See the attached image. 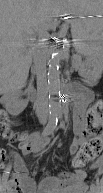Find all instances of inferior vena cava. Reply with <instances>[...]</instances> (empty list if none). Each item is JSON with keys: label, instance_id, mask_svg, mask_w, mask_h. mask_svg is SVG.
Listing matches in <instances>:
<instances>
[{"label": "inferior vena cava", "instance_id": "602c4592", "mask_svg": "<svg viewBox=\"0 0 103 193\" xmlns=\"http://www.w3.org/2000/svg\"><path fill=\"white\" fill-rule=\"evenodd\" d=\"M33 54L37 76V116L46 117L48 116V87L43 44H36Z\"/></svg>", "mask_w": 103, "mask_h": 193}]
</instances>
